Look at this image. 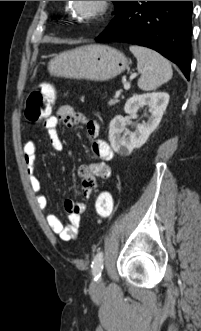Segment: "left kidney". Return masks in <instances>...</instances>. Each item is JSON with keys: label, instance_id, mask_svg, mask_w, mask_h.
Returning a JSON list of instances; mask_svg holds the SVG:
<instances>
[{"label": "left kidney", "instance_id": "obj_1", "mask_svg": "<svg viewBox=\"0 0 201 331\" xmlns=\"http://www.w3.org/2000/svg\"><path fill=\"white\" fill-rule=\"evenodd\" d=\"M168 102L169 94L165 92L134 94L127 100L125 113L136 115L139 109L148 106L150 116L147 122L138 124L134 132L127 130V120L123 116H116L109 126V141L113 150L126 156L145 144L150 134L158 127Z\"/></svg>", "mask_w": 201, "mask_h": 331}]
</instances>
